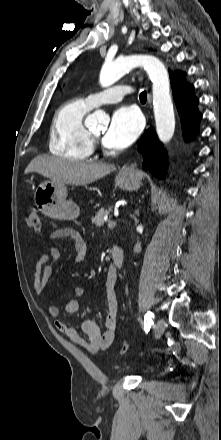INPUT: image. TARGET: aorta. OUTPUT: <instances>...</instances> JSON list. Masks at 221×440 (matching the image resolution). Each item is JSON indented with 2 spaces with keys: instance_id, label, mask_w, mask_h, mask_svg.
<instances>
[{
  "instance_id": "762f6f07",
  "label": "aorta",
  "mask_w": 221,
  "mask_h": 440,
  "mask_svg": "<svg viewBox=\"0 0 221 440\" xmlns=\"http://www.w3.org/2000/svg\"><path fill=\"white\" fill-rule=\"evenodd\" d=\"M143 67L152 81L153 109L158 138L163 143L170 141L175 130V116L170 95V80L164 64L151 55H131L105 63L100 73V84L108 87L118 81L131 69ZM107 119L102 110L91 114L87 120L91 124L105 122Z\"/></svg>"
}]
</instances>
